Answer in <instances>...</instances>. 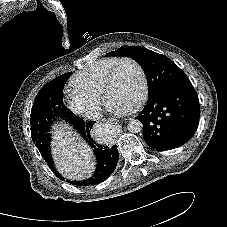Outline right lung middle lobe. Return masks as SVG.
<instances>
[{
	"label": "right lung middle lobe",
	"mask_w": 227,
	"mask_h": 227,
	"mask_svg": "<svg viewBox=\"0 0 227 227\" xmlns=\"http://www.w3.org/2000/svg\"><path fill=\"white\" fill-rule=\"evenodd\" d=\"M72 72L46 83L36 95L31 109V137L42 156L50 151V129L56 119L68 120L73 113L63 103V88Z\"/></svg>",
	"instance_id": "dd1d6c3e"
}]
</instances>
